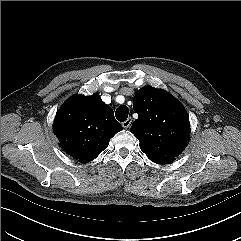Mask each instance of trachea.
Returning a JSON list of instances; mask_svg holds the SVG:
<instances>
[{"label": "trachea", "mask_w": 241, "mask_h": 241, "mask_svg": "<svg viewBox=\"0 0 241 241\" xmlns=\"http://www.w3.org/2000/svg\"><path fill=\"white\" fill-rule=\"evenodd\" d=\"M128 113L129 110L127 108V106H120L119 108H117L116 112H115V116L117 118V120L123 122L125 120H127L128 118Z\"/></svg>", "instance_id": "1"}]
</instances>
